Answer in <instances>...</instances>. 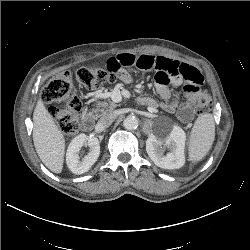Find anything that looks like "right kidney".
Masks as SVG:
<instances>
[{
    "instance_id": "right-kidney-1",
    "label": "right kidney",
    "mask_w": 250,
    "mask_h": 250,
    "mask_svg": "<svg viewBox=\"0 0 250 250\" xmlns=\"http://www.w3.org/2000/svg\"><path fill=\"white\" fill-rule=\"evenodd\" d=\"M84 145L89 146V152L82 160H80L79 152ZM99 154V140L96 137L79 134L69 144L66 153V163L72 173L82 174L87 172L97 161Z\"/></svg>"
}]
</instances>
